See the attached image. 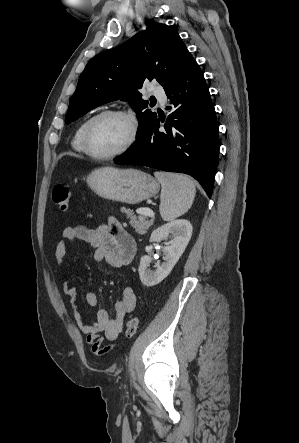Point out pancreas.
Returning <instances> with one entry per match:
<instances>
[{"label":"pancreas","mask_w":299,"mask_h":443,"mask_svg":"<svg viewBox=\"0 0 299 443\" xmlns=\"http://www.w3.org/2000/svg\"><path fill=\"white\" fill-rule=\"evenodd\" d=\"M121 211L124 212L127 218L130 219L129 223L136 230L138 234H146L147 230L152 226L153 220H149L148 217L143 214V210L140 211V215L137 217L134 215L133 210L121 208Z\"/></svg>","instance_id":"pancreas-1"}]
</instances>
